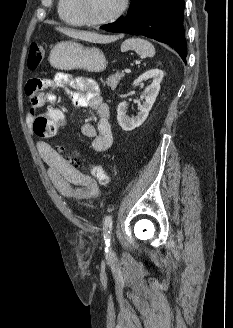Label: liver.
<instances>
[{"label": "liver", "instance_id": "obj_1", "mask_svg": "<svg viewBox=\"0 0 233 328\" xmlns=\"http://www.w3.org/2000/svg\"><path fill=\"white\" fill-rule=\"evenodd\" d=\"M56 30L69 37L84 40V41L101 43V42H104V40H105L104 36L99 35L97 33L89 32V31H80V30L62 28V27H58V28H56Z\"/></svg>", "mask_w": 233, "mask_h": 328}]
</instances>
